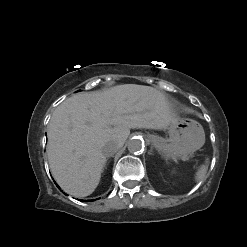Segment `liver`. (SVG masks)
I'll return each instance as SVG.
<instances>
[{"instance_id":"1","label":"liver","mask_w":247,"mask_h":247,"mask_svg":"<svg viewBox=\"0 0 247 247\" xmlns=\"http://www.w3.org/2000/svg\"><path fill=\"white\" fill-rule=\"evenodd\" d=\"M175 119L165 95L150 86L123 84L75 94L55 109L48 125L51 173L64 191L86 197L100 182L107 142L122 147L131 128L162 130Z\"/></svg>"}]
</instances>
